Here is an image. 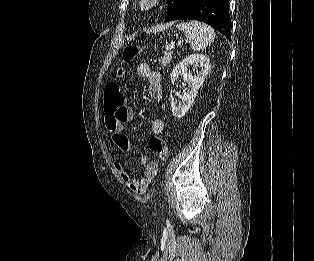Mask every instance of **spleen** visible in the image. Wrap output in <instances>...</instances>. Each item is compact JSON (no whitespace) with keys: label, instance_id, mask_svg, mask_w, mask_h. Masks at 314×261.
Returning a JSON list of instances; mask_svg holds the SVG:
<instances>
[{"label":"spleen","instance_id":"obj_1","mask_svg":"<svg viewBox=\"0 0 314 261\" xmlns=\"http://www.w3.org/2000/svg\"><path fill=\"white\" fill-rule=\"evenodd\" d=\"M176 27L184 32L193 51L206 48L215 39L214 29L199 21L180 23Z\"/></svg>","mask_w":314,"mask_h":261}]
</instances>
